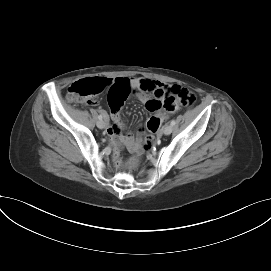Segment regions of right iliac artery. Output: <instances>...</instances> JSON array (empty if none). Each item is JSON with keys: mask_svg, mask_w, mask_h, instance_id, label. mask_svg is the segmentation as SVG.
I'll return each instance as SVG.
<instances>
[{"mask_svg": "<svg viewBox=\"0 0 271 271\" xmlns=\"http://www.w3.org/2000/svg\"><path fill=\"white\" fill-rule=\"evenodd\" d=\"M102 118H103L102 115H99V116H98V119H99V120H102Z\"/></svg>", "mask_w": 271, "mask_h": 271, "instance_id": "obj_1", "label": "right iliac artery"}]
</instances>
